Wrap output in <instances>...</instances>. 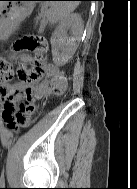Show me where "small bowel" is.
Wrapping results in <instances>:
<instances>
[{
	"instance_id": "obj_1",
	"label": "small bowel",
	"mask_w": 137,
	"mask_h": 189,
	"mask_svg": "<svg viewBox=\"0 0 137 189\" xmlns=\"http://www.w3.org/2000/svg\"><path fill=\"white\" fill-rule=\"evenodd\" d=\"M62 83H63V79L60 76H55L53 86L59 87V86H61ZM27 93L31 94V91L27 90ZM3 114H4V118H5L6 122L8 123V125L10 127H15L14 112H13V108H12L11 104L6 105Z\"/></svg>"
}]
</instances>
